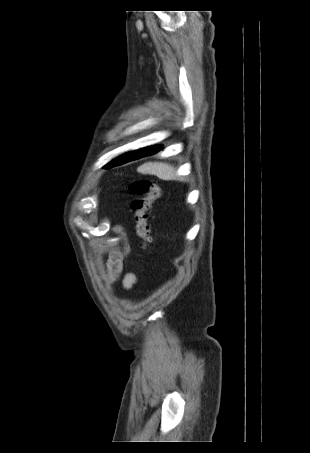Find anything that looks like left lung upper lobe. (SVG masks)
Returning <instances> with one entry per match:
<instances>
[{"label":"left lung upper lobe","mask_w":310,"mask_h":453,"mask_svg":"<svg viewBox=\"0 0 310 453\" xmlns=\"http://www.w3.org/2000/svg\"><path fill=\"white\" fill-rule=\"evenodd\" d=\"M138 152H139V150L123 154V155L117 157L116 159H114L113 161H111L110 163H108L105 166V168H111V167L118 166V165L124 164L126 162H129L132 160L133 156L136 155Z\"/></svg>","instance_id":"1"}]
</instances>
